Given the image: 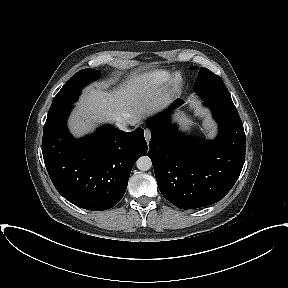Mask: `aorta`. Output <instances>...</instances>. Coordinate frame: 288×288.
<instances>
[{
	"label": "aorta",
	"mask_w": 288,
	"mask_h": 288,
	"mask_svg": "<svg viewBox=\"0 0 288 288\" xmlns=\"http://www.w3.org/2000/svg\"><path fill=\"white\" fill-rule=\"evenodd\" d=\"M136 166L140 171H147L152 167L151 159L148 156H141L136 161Z\"/></svg>",
	"instance_id": "obj_1"
}]
</instances>
